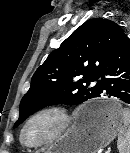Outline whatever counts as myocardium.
Here are the masks:
<instances>
[{"instance_id": "obj_1", "label": "myocardium", "mask_w": 130, "mask_h": 153, "mask_svg": "<svg viewBox=\"0 0 130 153\" xmlns=\"http://www.w3.org/2000/svg\"><path fill=\"white\" fill-rule=\"evenodd\" d=\"M42 117H50L55 121L53 131L42 140L31 143L25 140L24 136L28 127L37 119ZM72 123L71 113L63 106L49 105L42 107L33 112L23 123L20 132V143L30 149H37L49 145L59 139L70 127Z\"/></svg>"}]
</instances>
